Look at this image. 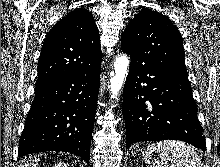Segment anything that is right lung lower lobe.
Instances as JSON below:
<instances>
[{"instance_id":"right-lung-lower-lobe-1","label":"right lung lower lobe","mask_w":220,"mask_h":167,"mask_svg":"<svg viewBox=\"0 0 220 167\" xmlns=\"http://www.w3.org/2000/svg\"><path fill=\"white\" fill-rule=\"evenodd\" d=\"M101 63L72 76L36 86L19 140V157L67 151L89 165Z\"/></svg>"}]
</instances>
